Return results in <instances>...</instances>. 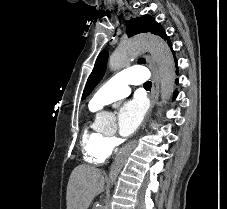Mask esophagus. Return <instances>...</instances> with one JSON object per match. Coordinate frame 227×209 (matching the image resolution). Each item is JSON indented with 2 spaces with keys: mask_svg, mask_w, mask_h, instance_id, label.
Masks as SVG:
<instances>
[{
  "mask_svg": "<svg viewBox=\"0 0 227 209\" xmlns=\"http://www.w3.org/2000/svg\"><path fill=\"white\" fill-rule=\"evenodd\" d=\"M143 57L146 59L152 73V90L150 95V109H152L157 102L159 95V72L154 60H152L150 55L144 54Z\"/></svg>",
  "mask_w": 227,
  "mask_h": 209,
  "instance_id": "obj_1",
  "label": "esophagus"
}]
</instances>
